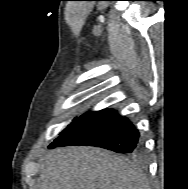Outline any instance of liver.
Returning <instances> with one entry per match:
<instances>
[{"mask_svg": "<svg viewBox=\"0 0 188 189\" xmlns=\"http://www.w3.org/2000/svg\"><path fill=\"white\" fill-rule=\"evenodd\" d=\"M37 189H150L126 158L94 147L56 148L47 156Z\"/></svg>", "mask_w": 188, "mask_h": 189, "instance_id": "1", "label": "liver"}]
</instances>
